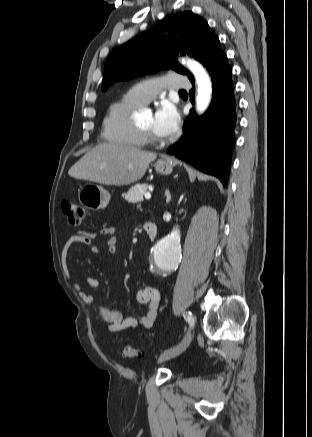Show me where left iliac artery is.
<instances>
[{"label": "left iliac artery", "instance_id": "44dca946", "mask_svg": "<svg viewBox=\"0 0 312 437\" xmlns=\"http://www.w3.org/2000/svg\"><path fill=\"white\" fill-rule=\"evenodd\" d=\"M184 318L188 321V323L190 324V326L194 325V318L192 317L191 313H186L184 315Z\"/></svg>", "mask_w": 312, "mask_h": 437}]
</instances>
